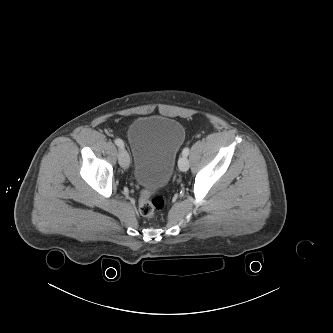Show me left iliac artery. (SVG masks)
Segmentation results:
<instances>
[{
  "label": "left iliac artery",
  "instance_id": "1",
  "mask_svg": "<svg viewBox=\"0 0 333 333\" xmlns=\"http://www.w3.org/2000/svg\"><path fill=\"white\" fill-rule=\"evenodd\" d=\"M189 152H190L189 148L186 147V148L183 149L182 155L185 156V157H187L189 155Z\"/></svg>",
  "mask_w": 333,
  "mask_h": 333
}]
</instances>
